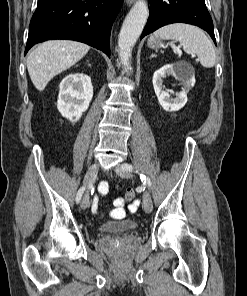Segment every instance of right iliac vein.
Here are the masks:
<instances>
[{
    "label": "right iliac vein",
    "instance_id": "obj_1",
    "mask_svg": "<svg viewBox=\"0 0 247 296\" xmlns=\"http://www.w3.org/2000/svg\"><path fill=\"white\" fill-rule=\"evenodd\" d=\"M99 166L98 164H93L88 170L84 178V185L87 186V191L82 197L81 200V207L82 209H86L89 205V192L88 189L93 184V182L96 179L97 173H98Z\"/></svg>",
    "mask_w": 247,
    "mask_h": 296
}]
</instances>
